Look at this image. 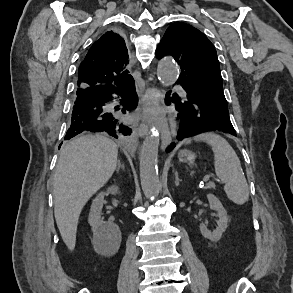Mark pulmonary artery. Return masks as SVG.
<instances>
[{
  "label": "pulmonary artery",
  "mask_w": 293,
  "mask_h": 293,
  "mask_svg": "<svg viewBox=\"0 0 293 293\" xmlns=\"http://www.w3.org/2000/svg\"><path fill=\"white\" fill-rule=\"evenodd\" d=\"M181 96H186V92L181 87H176Z\"/></svg>",
  "instance_id": "1"
}]
</instances>
